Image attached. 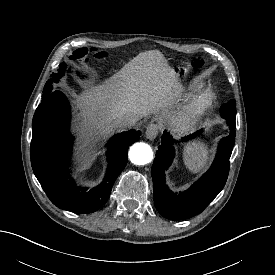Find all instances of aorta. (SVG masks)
<instances>
[{
    "instance_id": "762f6f07",
    "label": "aorta",
    "mask_w": 275,
    "mask_h": 275,
    "mask_svg": "<svg viewBox=\"0 0 275 275\" xmlns=\"http://www.w3.org/2000/svg\"><path fill=\"white\" fill-rule=\"evenodd\" d=\"M129 159L135 165H145L152 161V148L143 142L133 144L129 149Z\"/></svg>"
}]
</instances>
